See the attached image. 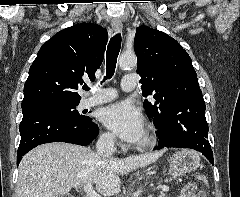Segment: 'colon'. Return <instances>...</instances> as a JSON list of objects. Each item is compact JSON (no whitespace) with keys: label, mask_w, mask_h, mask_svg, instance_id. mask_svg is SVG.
Returning a JSON list of instances; mask_svg holds the SVG:
<instances>
[{"label":"colon","mask_w":240,"mask_h":197,"mask_svg":"<svg viewBox=\"0 0 240 197\" xmlns=\"http://www.w3.org/2000/svg\"><path fill=\"white\" fill-rule=\"evenodd\" d=\"M197 180L200 181L201 183L207 185L208 184V179L205 175L199 174L197 175Z\"/></svg>","instance_id":"1"}]
</instances>
